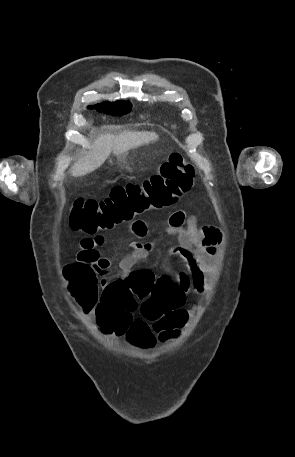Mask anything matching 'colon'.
<instances>
[{"label":"colon","mask_w":295,"mask_h":457,"mask_svg":"<svg viewBox=\"0 0 295 457\" xmlns=\"http://www.w3.org/2000/svg\"><path fill=\"white\" fill-rule=\"evenodd\" d=\"M194 168L182 153H172L157 174L140 184L114 187L101 200L77 199L71 209L69 225L75 231L95 234L124 223L151 210L173 206L192 186ZM104 270L88 262L76 261L64 268V275L78 302L86 309L95 307L96 319L103 331L126 336L136 350L146 353L148 347L174 337L187 319V312L176 299L177 288L171 278L156 277L150 270L137 269L109 281L97 298V275ZM142 301L144 320H133L132 314ZM147 321L153 322L150 327Z\"/></svg>","instance_id":"colon-1"}]
</instances>
